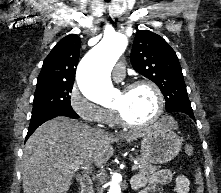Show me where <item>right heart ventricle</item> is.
<instances>
[{"mask_svg":"<svg viewBox=\"0 0 221 193\" xmlns=\"http://www.w3.org/2000/svg\"><path fill=\"white\" fill-rule=\"evenodd\" d=\"M118 122L116 116L114 115V113L111 114L110 119H109V123L110 124H116Z\"/></svg>","mask_w":221,"mask_h":193,"instance_id":"e07e8e85","label":"right heart ventricle"}]
</instances>
